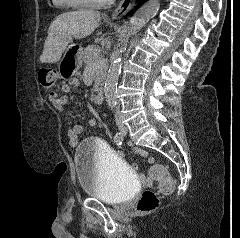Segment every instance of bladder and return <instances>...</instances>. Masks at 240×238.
<instances>
[{"mask_svg": "<svg viewBox=\"0 0 240 238\" xmlns=\"http://www.w3.org/2000/svg\"><path fill=\"white\" fill-rule=\"evenodd\" d=\"M77 181L89 196L108 204L128 201L137 190L132 168L105 142L90 138L74 154Z\"/></svg>", "mask_w": 240, "mask_h": 238, "instance_id": "obj_1", "label": "bladder"}]
</instances>
